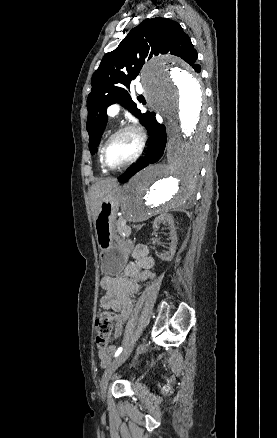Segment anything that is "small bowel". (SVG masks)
<instances>
[{
    "label": "small bowel",
    "instance_id": "c3829d8e",
    "mask_svg": "<svg viewBox=\"0 0 277 438\" xmlns=\"http://www.w3.org/2000/svg\"><path fill=\"white\" fill-rule=\"evenodd\" d=\"M131 254L133 260L125 267L121 275H107L100 281V286L105 291L100 301L101 308L115 313V338L122 334L125 322L133 312L132 296L139 291L142 282L154 277L150 271L154 260L149 249L144 245H136ZM115 352L114 346L99 349L98 356L102 367L108 365Z\"/></svg>",
    "mask_w": 277,
    "mask_h": 438
}]
</instances>
